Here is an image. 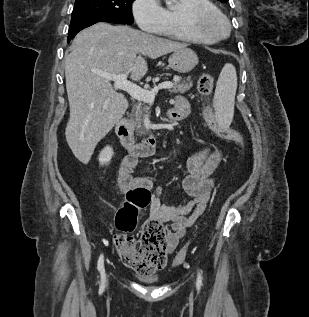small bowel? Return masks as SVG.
<instances>
[{"label":"small bowel","instance_id":"obj_1","mask_svg":"<svg viewBox=\"0 0 309 317\" xmlns=\"http://www.w3.org/2000/svg\"><path fill=\"white\" fill-rule=\"evenodd\" d=\"M190 112L188 101L178 97L171 109L173 120L184 119ZM221 152L203 148L187 161L188 174L182 181V187L189 200L177 206H166L161 202L163 188L154 186L147 177H135L133 172L138 165V158L127 155L120 165L117 183L119 190L127 194L134 189H145L150 192L149 204L151 219L169 225L167 231L168 252H172L179 241L199 217L203 215L210 200L212 189L215 185L214 172L220 162Z\"/></svg>","mask_w":309,"mask_h":317}]
</instances>
